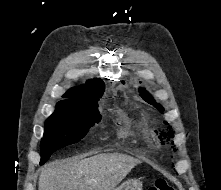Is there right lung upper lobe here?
I'll return each mask as SVG.
<instances>
[{"label":"right lung upper lobe","instance_id":"obj_1","mask_svg":"<svg viewBox=\"0 0 221 190\" xmlns=\"http://www.w3.org/2000/svg\"><path fill=\"white\" fill-rule=\"evenodd\" d=\"M104 92V83L101 79H90L84 86L71 88L62 97L67 98L57 103L56 110L74 108L80 104L96 101Z\"/></svg>","mask_w":221,"mask_h":190}]
</instances>
